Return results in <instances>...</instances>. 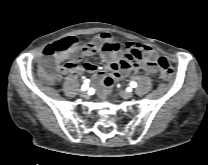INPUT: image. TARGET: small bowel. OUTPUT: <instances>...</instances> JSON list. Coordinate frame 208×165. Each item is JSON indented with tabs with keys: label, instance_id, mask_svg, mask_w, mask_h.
Wrapping results in <instances>:
<instances>
[{
	"label": "small bowel",
	"instance_id": "small-bowel-1",
	"mask_svg": "<svg viewBox=\"0 0 208 165\" xmlns=\"http://www.w3.org/2000/svg\"><path fill=\"white\" fill-rule=\"evenodd\" d=\"M90 46L91 50L82 57L99 54L106 63L107 73L101 71L94 63L77 64L73 61L59 62L58 71L63 74L91 73L94 75V82L105 88H110L115 81L121 80L132 71L143 70L151 74L157 72V66L153 61L142 59L143 56H155V51L147 45L121 43L116 41L112 34L103 31L94 36Z\"/></svg>",
	"mask_w": 208,
	"mask_h": 165
}]
</instances>
